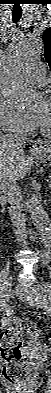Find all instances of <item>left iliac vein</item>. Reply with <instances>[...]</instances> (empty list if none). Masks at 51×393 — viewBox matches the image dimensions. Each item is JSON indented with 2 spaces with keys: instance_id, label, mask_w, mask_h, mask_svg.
Returning <instances> with one entry per match:
<instances>
[{
  "instance_id": "4c4485c4",
  "label": "left iliac vein",
  "mask_w": 51,
  "mask_h": 393,
  "mask_svg": "<svg viewBox=\"0 0 51 393\" xmlns=\"http://www.w3.org/2000/svg\"><path fill=\"white\" fill-rule=\"evenodd\" d=\"M15 292L18 296L25 298L28 304L50 311V300L46 298V292L40 286L18 285Z\"/></svg>"
}]
</instances>
